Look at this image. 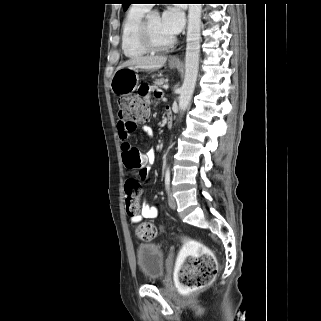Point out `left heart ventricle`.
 <instances>
[{
  "mask_svg": "<svg viewBox=\"0 0 321 321\" xmlns=\"http://www.w3.org/2000/svg\"><path fill=\"white\" fill-rule=\"evenodd\" d=\"M149 28L152 38L156 43H167L173 37L162 27L158 14H151L149 17Z\"/></svg>",
  "mask_w": 321,
  "mask_h": 321,
  "instance_id": "1",
  "label": "left heart ventricle"
}]
</instances>
